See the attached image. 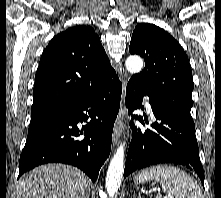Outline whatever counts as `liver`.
Wrapping results in <instances>:
<instances>
[{"label": "liver", "instance_id": "obj_1", "mask_svg": "<svg viewBox=\"0 0 221 198\" xmlns=\"http://www.w3.org/2000/svg\"><path fill=\"white\" fill-rule=\"evenodd\" d=\"M90 180L64 164L36 167L18 182L12 198H89Z\"/></svg>", "mask_w": 221, "mask_h": 198}]
</instances>
